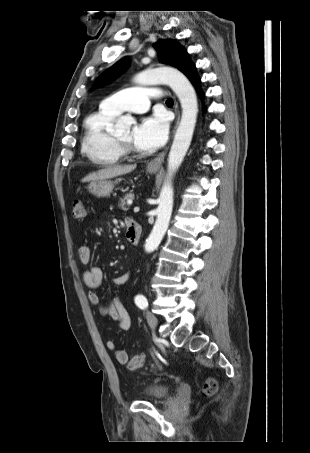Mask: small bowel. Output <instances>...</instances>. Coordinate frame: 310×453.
<instances>
[{
	"label": "small bowel",
	"mask_w": 310,
	"mask_h": 453,
	"mask_svg": "<svg viewBox=\"0 0 310 453\" xmlns=\"http://www.w3.org/2000/svg\"><path fill=\"white\" fill-rule=\"evenodd\" d=\"M128 222L129 221H127V223ZM78 256L83 265H88L92 259L91 248L88 245L80 246L78 249ZM130 277V272H125L115 276L112 279V283L116 286H120L128 282ZM82 278L86 286L90 289L88 294L89 301L97 307L99 314L103 317H109L115 320L120 329L128 330L131 326V318L119 297H113L109 303L104 304L97 292L104 279L102 270L98 267H91L84 271ZM106 346L113 352L114 357L119 364L126 365L128 363V354L124 350L118 349L112 339L107 340Z\"/></svg>",
	"instance_id": "1"
}]
</instances>
